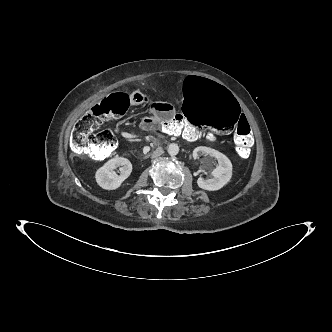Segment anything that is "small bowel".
Listing matches in <instances>:
<instances>
[{
  "label": "small bowel",
  "instance_id": "small-bowel-1",
  "mask_svg": "<svg viewBox=\"0 0 332 332\" xmlns=\"http://www.w3.org/2000/svg\"><path fill=\"white\" fill-rule=\"evenodd\" d=\"M138 95V100L134 104H145L148 102L147 96L142 92H135ZM158 118L160 121H172L175 118V111L169 102L159 101L150 104V115L145 116L139 123V128L144 131H154L157 127H154L151 123L153 118ZM194 140L199 137V132L194 128H189ZM211 135H217L212 132Z\"/></svg>",
  "mask_w": 332,
  "mask_h": 332
}]
</instances>
